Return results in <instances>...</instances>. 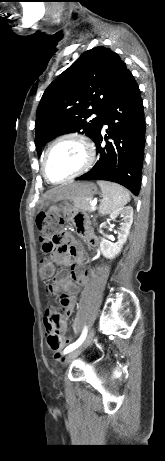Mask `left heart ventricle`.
Masks as SVG:
<instances>
[{
	"instance_id": "obj_1",
	"label": "left heart ventricle",
	"mask_w": 165,
	"mask_h": 461,
	"mask_svg": "<svg viewBox=\"0 0 165 461\" xmlns=\"http://www.w3.org/2000/svg\"><path fill=\"white\" fill-rule=\"evenodd\" d=\"M84 161L85 154L78 142L63 141L50 151L46 160V170L52 180H61L78 170Z\"/></svg>"
}]
</instances>
